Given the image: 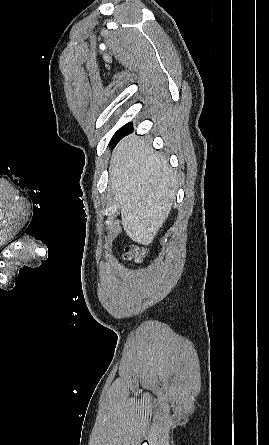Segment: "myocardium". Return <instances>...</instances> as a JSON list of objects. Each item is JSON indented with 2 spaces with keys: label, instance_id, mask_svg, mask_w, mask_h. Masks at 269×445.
<instances>
[{
  "label": "myocardium",
  "instance_id": "f54148a6",
  "mask_svg": "<svg viewBox=\"0 0 269 445\" xmlns=\"http://www.w3.org/2000/svg\"><path fill=\"white\" fill-rule=\"evenodd\" d=\"M6 240H7V239H3V240H1V241H0V245H1L2 243H4Z\"/></svg>",
  "mask_w": 269,
  "mask_h": 445
}]
</instances>
